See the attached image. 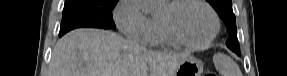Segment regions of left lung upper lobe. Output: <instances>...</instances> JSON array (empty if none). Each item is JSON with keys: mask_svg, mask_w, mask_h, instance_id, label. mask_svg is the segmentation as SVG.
I'll return each instance as SVG.
<instances>
[{"mask_svg": "<svg viewBox=\"0 0 287 76\" xmlns=\"http://www.w3.org/2000/svg\"><path fill=\"white\" fill-rule=\"evenodd\" d=\"M213 8L217 11L218 15L224 21L230 37L226 41L229 49L235 53H240V47L237 38V28L235 22V15L233 14L231 0H207Z\"/></svg>", "mask_w": 287, "mask_h": 76, "instance_id": "5c2ea615", "label": "left lung upper lobe"}]
</instances>
